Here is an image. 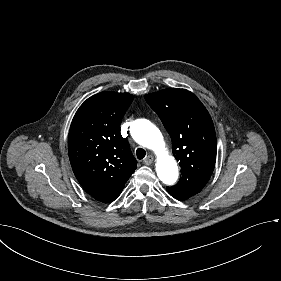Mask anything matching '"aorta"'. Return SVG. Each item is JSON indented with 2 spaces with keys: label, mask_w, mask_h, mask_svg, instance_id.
<instances>
[{
  "label": "aorta",
  "mask_w": 281,
  "mask_h": 281,
  "mask_svg": "<svg viewBox=\"0 0 281 281\" xmlns=\"http://www.w3.org/2000/svg\"><path fill=\"white\" fill-rule=\"evenodd\" d=\"M133 138L142 146L157 155L156 171L159 179L166 185H173L178 179V166L173 156L165 149L160 130L146 119L136 120L131 128Z\"/></svg>",
  "instance_id": "1"
}]
</instances>
